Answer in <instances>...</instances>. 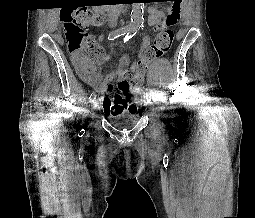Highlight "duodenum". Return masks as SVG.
Masks as SVG:
<instances>
[{
  "instance_id": "1",
  "label": "duodenum",
  "mask_w": 255,
  "mask_h": 218,
  "mask_svg": "<svg viewBox=\"0 0 255 218\" xmlns=\"http://www.w3.org/2000/svg\"><path fill=\"white\" fill-rule=\"evenodd\" d=\"M97 10H98L99 12H101V13H103V11H104V9L101 8V7H98Z\"/></svg>"
}]
</instances>
